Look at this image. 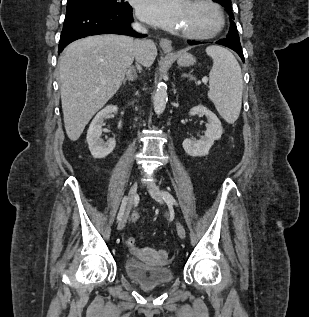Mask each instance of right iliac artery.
<instances>
[{"label":"right iliac artery","instance_id":"82829eb1","mask_svg":"<svg viewBox=\"0 0 309 317\" xmlns=\"http://www.w3.org/2000/svg\"><path fill=\"white\" fill-rule=\"evenodd\" d=\"M127 201H128V198L124 197L123 200H122L121 206H120V210H119L118 216H117V220L118 221H120L121 218L124 215V211H125V208H126V205H127Z\"/></svg>","mask_w":309,"mask_h":317}]
</instances>
